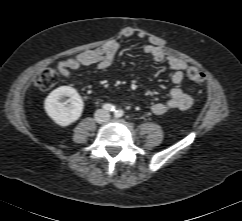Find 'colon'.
Segmentation results:
<instances>
[{
  "mask_svg": "<svg viewBox=\"0 0 242 221\" xmlns=\"http://www.w3.org/2000/svg\"><path fill=\"white\" fill-rule=\"evenodd\" d=\"M188 78L194 83H201L204 80V74L200 68L196 66H190L187 70ZM59 80V75L56 69L47 68L42 71L38 80L37 87L41 91L51 90Z\"/></svg>",
  "mask_w": 242,
  "mask_h": 221,
  "instance_id": "1",
  "label": "colon"
}]
</instances>
